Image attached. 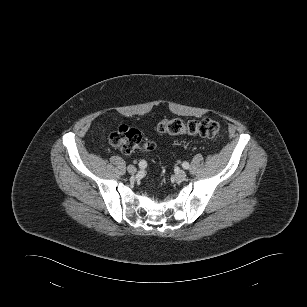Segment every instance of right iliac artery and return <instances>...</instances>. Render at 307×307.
<instances>
[{"label":"right iliac artery","instance_id":"82829eb1","mask_svg":"<svg viewBox=\"0 0 307 307\" xmlns=\"http://www.w3.org/2000/svg\"><path fill=\"white\" fill-rule=\"evenodd\" d=\"M146 166H147L146 161L141 160V161L139 162V168H140V169H145V168H146Z\"/></svg>","mask_w":307,"mask_h":307}]
</instances>
